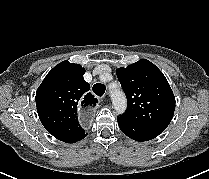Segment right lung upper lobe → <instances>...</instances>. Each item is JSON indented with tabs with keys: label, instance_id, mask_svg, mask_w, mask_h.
Wrapping results in <instances>:
<instances>
[{
	"label": "right lung upper lobe",
	"instance_id": "cb5924a9",
	"mask_svg": "<svg viewBox=\"0 0 209 179\" xmlns=\"http://www.w3.org/2000/svg\"><path fill=\"white\" fill-rule=\"evenodd\" d=\"M85 69L79 64L63 61L45 77L36 92V107L41 123L55 138L75 143L86 134L78 121L79 106L88 109L98 102L88 92Z\"/></svg>",
	"mask_w": 209,
	"mask_h": 179
}]
</instances>
